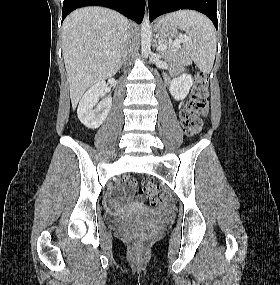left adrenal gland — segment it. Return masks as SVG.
Masks as SVG:
<instances>
[{"label":"left adrenal gland","mask_w":280,"mask_h":285,"mask_svg":"<svg viewBox=\"0 0 280 285\" xmlns=\"http://www.w3.org/2000/svg\"><path fill=\"white\" fill-rule=\"evenodd\" d=\"M154 47H156V49L158 51V41H157V39L154 40Z\"/></svg>","instance_id":"obj_1"}]
</instances>
